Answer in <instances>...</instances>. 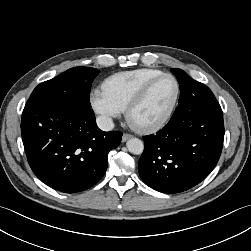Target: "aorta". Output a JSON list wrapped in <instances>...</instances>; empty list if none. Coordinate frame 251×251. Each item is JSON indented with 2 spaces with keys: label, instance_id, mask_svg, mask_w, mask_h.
I'll list each match as a JSON object with an SVG mask.
<instances>
[{
  "label": "aorta",
  "instance_id": "aorta-1",
  "mask_svg": "<svg viewBox=\"0 0 251 251\" xmlns=\"http://www.w3.org/2000/svg\"><path fill=\"white\" fill-rule=\"evenodd\" d=\"M127 149L129 152L135 155L142 154L144 150L143 142L138 138H131L126 143Z\"/></svg>",
  "mask_w": 251,
  "mask_h": 251
}]
</instances>
